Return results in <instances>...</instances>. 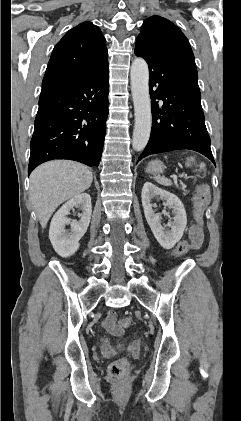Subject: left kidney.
Segmentation results:
<instances>
[{"mask_svg": "<svg viewBox=\"0 0 241 421\" xmlns=\"http://www.w3.org/2000/svg\"><path fill=\"white\" fill-rule=\"evenodd\" d=\"M155 196H159L165 200L164 206L172 208L175 214L172 222L168 223V227L171 230L165 231V227L161 224V216L153 210L152 199ZM141 197L144 214L154 237L163 248H173L182 238L187 224V216L183 203L176 195L158 188L151 182L144 184Z\"/></svg>", "mask_w": 241, "mask_h": 421, "instance_id": "5707ae66", "label": "left kidney"}]
</instances>
